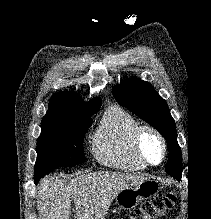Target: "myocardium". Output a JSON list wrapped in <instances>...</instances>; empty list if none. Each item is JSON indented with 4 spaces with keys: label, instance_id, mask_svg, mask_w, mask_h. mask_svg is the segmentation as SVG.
Listing matches in <instances>:
<instances>
[{
    "label": "myocardium",
    "instance_id": "obj_1",
    "mask_svg": "<svg viewBox=\"0 0 211 219\" xmlns=\"http://www.w3.org/2000/svg\"><path fill=\"white\" fill-rule=\"evenodd\" d=\"M146 134L153 135L161 145V158L157 163L150 162L142 151V140ZM133 148L138 159L146 165V167H156L161 165L167 156V143L162 133L151 125H140L135 132L133 138Z\"/></svg>",
    "mask_w": 211,
    "mask_h": 219
}]
</instances>
